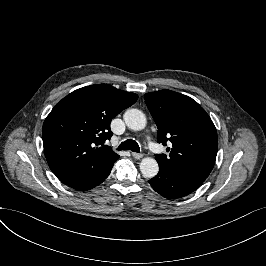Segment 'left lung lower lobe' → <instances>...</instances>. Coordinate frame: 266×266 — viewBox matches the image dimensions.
Returning <instances> with one entry per match:
<instances>
[{
  "label": "left lung lower lobe",
  "mask_w": 266,
  "mask_h": 266,
  "mask_svg": "<svg viewBox=\"0 0 266 266\" xmlns=\"http://www.w3.org/2000/svg\"><path fill=\"white\" fill-rule=\"evenodd\" d=\"M149 183L163 197L176 199L192 193L202 182L159 164V173Z\"/></svg>",
  "instance_id": "1"
}]
</instances>
